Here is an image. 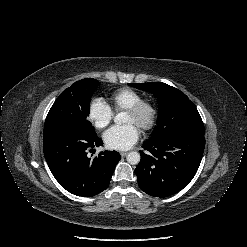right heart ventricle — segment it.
<instances>
[{"label":"right heart ventricle","instance_id":"obj_1","mask_svg":"<svg viewBox=\"0 0 247 247\" xmlns=\"http://www.w3.org/2000/svg\"><path fill=\"white\" fill-rule=\"evenodd\" d=\"M142 99V95L131 88H121L109 96L110 107L114 110L126 109Z\"/></svg>","mask_w":247,"mask_h":247}]
</instances>
